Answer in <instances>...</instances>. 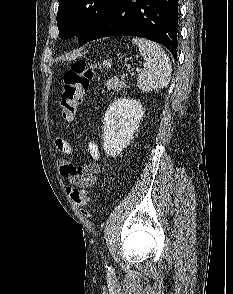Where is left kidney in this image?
<instances>
[{"mask_svg": "<svg viewBox=\"0 0 233 294\" xmlns=\"http://www.w3.org/2000/svg\"><path fill=\"white\" fill-rule=\"evenodd\" d=\"M143 107L137 100L121 98L106 110L103 122V148L107 155H119L130 143L143 116Z\"/></svg>", "mask_w": 233, "mask_h": 294, "instance_id": "1", "label": "left kidney"}]
</instances>
